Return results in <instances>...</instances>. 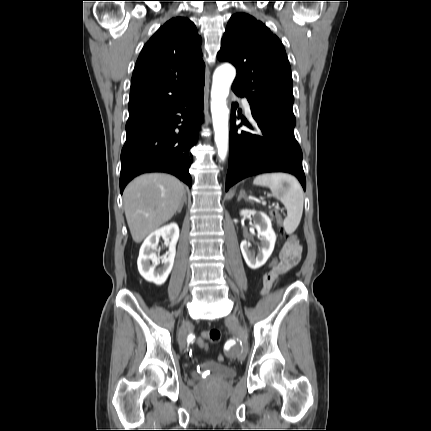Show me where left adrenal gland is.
Returning a JSON list of instances; mask_svg holds the SVG:
<instances>
[{
	"instance_id": "1",
	"label": "left adrenal gland",
	"mask_w": 431,
	"mask_h": 431,
	"mask_svg": "<svg viewBox=\"0 0 431 431\" xmlns=\"http://www.w3.org/2000/svg\"><path fill=\"white\" fill-rule=\"evenodd\" d=\"M242 198H243L244 200H246V201H249V200H248V198H247V196H246V194H245V191H244V190H241V191H240V194H239V196H238L237 201H240Z\"/></svg>"
}]
</instances>
